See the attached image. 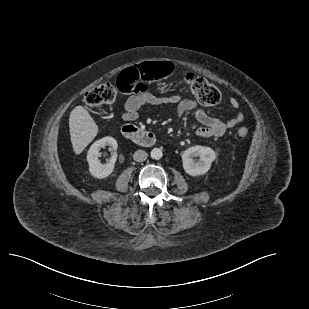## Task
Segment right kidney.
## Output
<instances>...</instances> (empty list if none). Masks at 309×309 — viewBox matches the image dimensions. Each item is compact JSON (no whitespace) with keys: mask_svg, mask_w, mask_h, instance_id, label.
I'll return each instance as SVG.
<instances>
[{"mask_svg":"<svg viewBox=\"0 0 309 309\" xmlns=\"http://www.w3.org/2000/svg\"><path fill=\"white\" fill-rule=\"evenodd\" d=\"M105 146L112 147L113 150L117 149V141L112 137H104L94 142L87 154V161L89 164V171L91 175L98 179L108 177L114 170L117 155L114 153L108 163L102 164L100 157V149Z\"/></svg>","mask_w":309,"mask_h":309,"instance_id":"1","label":"right kidney"}]
</instances>
